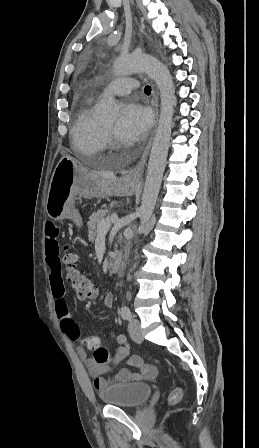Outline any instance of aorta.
I'll use <instances>...</instances> for the list:
<instances>
[{"label": "aorta", "instance_id": "obj_1", "mask_svg": "<svg viewBox=\"0 0 259 448\" xmlns=\"http://www.w3.org/2000/svg\"><path fill=\"white\" fill-rule=\"evenodd\" d=\"M117 76L145 72L156 83L161 97L159 123L151 148L148 170L139 212V231L145 230L154 211L170 146L174 106L176 104L172 77L168 68L156 58L145 54H132L120 57L114 65ZM99 110L106 118L117 114L118 108L111 96H105Z\"/></svg>", "mask_w": 259, "mask_h": 448}]
</instances>
